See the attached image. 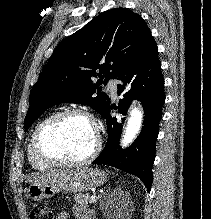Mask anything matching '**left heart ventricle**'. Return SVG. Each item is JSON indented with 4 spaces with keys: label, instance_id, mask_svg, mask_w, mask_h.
I'll return each mask as SVG.
<instances>
[{
    "label": "left heart ventricle",
    "instance_id": "b2bd125f",
    "mask_svg": "<svg viewBox=\"0 0 211 219\" xmlns=\"http://www.w3.org/2000/svg\"><path fill=\"white\" fill-rule=\"evenodd\" d=\"M95 141L91 124L78 117H65L45 132L42 147L55 158L79 160L92 151Z\"/></svg>",
    "mask_w": 211,
    "mask_h": 219
}]
</instances>
